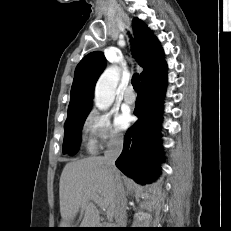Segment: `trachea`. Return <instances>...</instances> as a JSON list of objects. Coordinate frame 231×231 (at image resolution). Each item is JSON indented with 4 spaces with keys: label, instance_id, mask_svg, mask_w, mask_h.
<instances>
[{
    "label": "trachea",
    "instance_id": "trachea-1",
    "mask_svg": "<svg viewBox=\"0 0 231 231\" xmlns=\"http://www.w3.org/2000/svg\"><path fill=\"white\" fill-rule=\"evenodd\" d=\"M132 86L135 91H139L140 89V78L138 74H134L131 80Z\"/></svg>",
    "mask_w": 231,
    "mask_h": 231
}]
</instances>
